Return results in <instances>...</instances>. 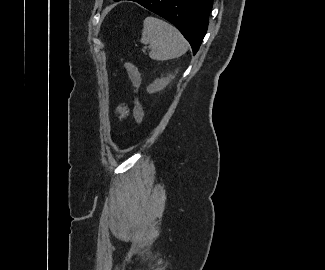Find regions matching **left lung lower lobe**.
<instances>
[{"label": "left lung lower lobe", "mask_w": 325, "mask_h": 270, "mask_svg": "<svg viewBox=\"0 0 325 270\" xmlns=\"http://www.w3.org/2000/svg\"><path fill=\"white\" fill-rule=\"evenodd\" d=\"M131 1L139 3L176 26L190 43L193 54H196L207 31L213 0Z\"/></svg>", "instance_id": "obj_1"}]
</instances>
